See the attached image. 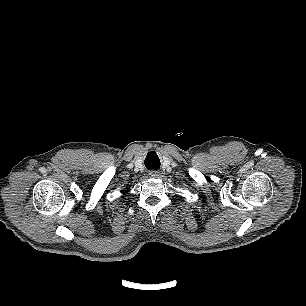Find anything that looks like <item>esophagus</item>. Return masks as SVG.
<instances>
[{"label":"esophagus","mask_w":306,"mask_h":306,"mask_svg":"<svg viewBox=\"0 0 306 306\" xmlns=\"http://www.w3.org/2000/svg\"><path fill=\"white\" fill-rule=\"evenodd\" d=\"M150 175H151V176H155V175H156V173H154V172H151V173H150Z\"/></svg>","instance_id":"1"}]
</instances>
